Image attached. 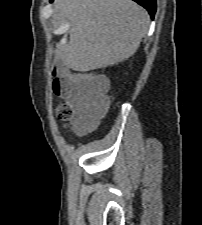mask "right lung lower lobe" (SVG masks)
<instances>
[{
	"mask_svg": "<svg viewBox=\"0 0 202 225\" xmlns=\"http://www.w3.org/2000/svg\"><path fill=\"white\" fill-rule=\"evenodd\" d=\"M51 2L53 0H50ZM146 8L148 10L150 16L153 18L156 11V0H133Z\"/></svg>",
	"mask_w": 202,
	"mask_h": 225,
	"instance_id": "obj_1",
	"label": "right lung lower lobe"
}]
</instances>
